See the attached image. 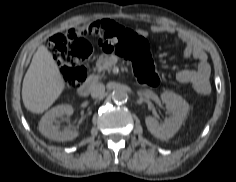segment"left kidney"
<instances>
[{
	"label": "left kidney",
	"instance_id": "obj_1",
	"mask_svg": "<svg viewBox=\"0 0 236 182\" xmlns=\"http://www.w3.org/2000/svg\"><path fill=\"white\" fill-rule=\"evenodd\" d=\"M162 102L170 114L164 123H159L156 118L147 116L145 123L149 132L156 138L168 140L180 129L189 111V104L178 94L165 91L161 94Z\"/></svg>",
	"mask_w": 236,
	"mask_h": 182
}]
</instances>
